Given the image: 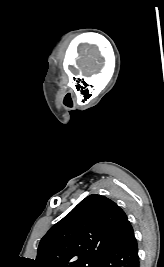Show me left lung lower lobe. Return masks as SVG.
<instances>
[{
	"label": "left lung lower lobe",
	"mask_w": 164,
	"mask_h": 267,
	"mask_svg": "<svg viewBox=\"0 0 164 267\" xmlns=\"http://www.w3.org/2000/svg\"><path fill=\"white\" fill-rule=\"evenodd\" d=\"M98 267H139L137 241L129 221L107 249Z\"/></svg>",
	"instance_id": "1"
}]
</instances>
